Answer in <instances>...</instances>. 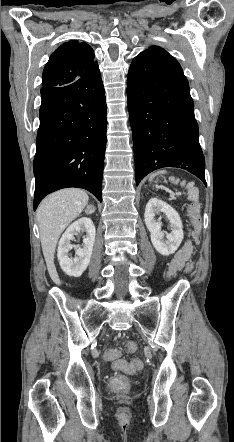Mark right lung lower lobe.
<instances>
[{
	"instance_id": "obj_1",
	"label": "right lung lower lobe",
	"mask_w": 234,
	"mask_h": 442,
	"mask_svg": "<svg viewBox=\"0 0 234 442\" xmlns=\"http://www.w3.org/2000/svg\"><path fill=\"white\" fill-rule=\"evenodd\" d=\"M34 175V210L49 193L67 187L102 201L106 98L99 67L75 82L41 89Z\"/></svg>"
}]
</instances>
